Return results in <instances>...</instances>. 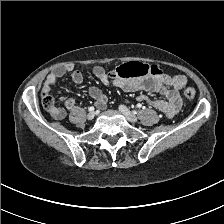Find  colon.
<instances>
[{"label": "colon", "instance_id": "obj_1", "mask_svg": "<svg viewBox=\"0 0 224 224\" xmlns=\"http://www.w3.org/2000/svg\"><path fill=\"white\" fill-rule=\"evenodd\" d=\"M161 72L158 65H148L143 63H129L120 67L114 72L115 77L119 78H135V77H146L149 75H156ZM183 96L192 100L196 96V91L193 87L187 86L185 83L181 85ZM43 104L50 110L55 111L58 109L55 99L51 95H43Z\"/></svg>", "mask_w": 224, "mask_h": 224}]
</instances>
